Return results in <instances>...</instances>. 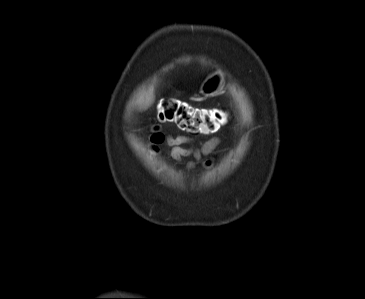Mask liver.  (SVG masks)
Segmentation results:
<instances>
[{"mask_svg": "<svg viewBox=\"0 0 365 299\" xmlns=\"http://www.w3.org/2000/svg\"><path fill=\"white\" fill-rule=\"evenodd\" d=\"M152 102V97H148L146 100V105H150Z\"/></svg>", "mask_w": 365, "mask_h": 299, "instance_id": "liver-1", "label": "liver"}]
</instances>
